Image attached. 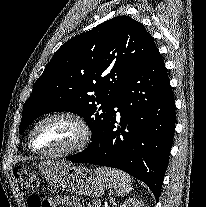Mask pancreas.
I'll return each mask as SVG.
<instances>
[{"label": "pancreas", "mask_w": 206, "mask_h": 207, "mask_svg": "<svg viewBox=\"0 0 206 207\" xmlns=\"http://www.w3.org/2000/svg\"><path fill=\"white\" fill-rule=\"evenodd\" d=\"M87 207H100V202L98 200H94L92 203H89Z\"/></svg>", "instance_id": "1"}]
</instances>
